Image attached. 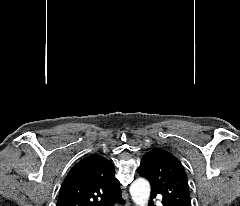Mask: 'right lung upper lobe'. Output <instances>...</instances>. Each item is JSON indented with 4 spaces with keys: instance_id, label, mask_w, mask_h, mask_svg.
Wrapping results in <instances>:
<instances>
[{
    "instance_id": "1",
    "label": "right lung upper lobe",
    "mask_w": 240,
    "mask_h": 206,
    "mask_svg": "<svg viewBox=\"0 0 240 206\" xmlns=\"http://www.w3.org/2000/svg\"><path fill=\"white\" fill-rule=\"evenodd\" d=\"M120 192L113 164L103 156L92 154L70 170L56 206H101Z\"/></svg>"
}]
</instances>
